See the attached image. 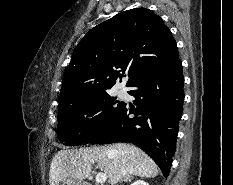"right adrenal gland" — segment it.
Here are the masks:
<instances>
[{
  "label": "right adrenal gland",
  "instance_id": "2a0ac1e0",
  "mask_svg": "<svg viewBox=\"0 0 233 185\" xmlns=\"http://www.w3.org/2000/svg\"><path fill=\"white\" fill-rule=\"evenodd\" d=\"M132 178H133V177L130 176V175L123 176V177L121 178V180L119 181V183H121V182H123V181H124V182L130 181Z\"/></svg>",
  "mask_w": 233,
  "mask_h": 185
}]
</instances>
